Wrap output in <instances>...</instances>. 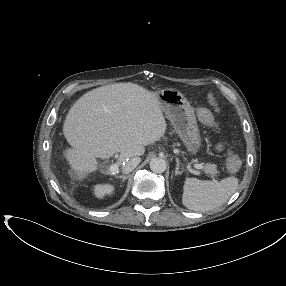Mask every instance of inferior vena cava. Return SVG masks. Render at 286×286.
Here are the masks:
<instances>
[{
	"label": "inferior vena cava",
	"instance_id": "inferior-vena-cava-1",
	"mask_svg": "<svg viewBox=\"0 0 286 286\" xmlns=\"http://www.w3.org/2000/svg\"><path fill=\"white\" fill-rule=\"evenodd\" d=\"M141 162L140 157H131V158H127L125 161H123V165H122V171L125 174L130 173L134 168H136L139 163Z\"/></svg>",
	"mask_w": 286,
	"mask_h": 286
}]
</instances>
